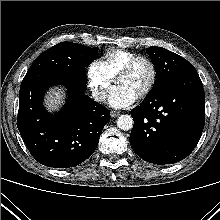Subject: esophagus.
<instances>
[{
  "instance_id": "34e87169",
  "label": "esophagus",
  "mask_w": 220,
  "mask_h": 220,
  "mask_svg": "<svg viewBox=\"0 0 220 220\" xmlns=\"http://www.w3.org/2000/svg\"><path fill=\"white\" fill-rule=\"evenodd\" d=\"M110 114H111V116H112L113 118H115V117H118V116L120 115V112H119V111L112 110V111L110 112Z\"/></svg>"
}]
</instances>
